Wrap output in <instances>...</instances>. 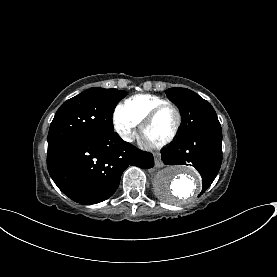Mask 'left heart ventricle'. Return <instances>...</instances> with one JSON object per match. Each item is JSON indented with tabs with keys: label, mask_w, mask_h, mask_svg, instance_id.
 Wrapping results in <instances>:
<instances>
[{
	"label": "left heart ventricle",
	"mask_w": 277,
	"mask_h": 277,
	"mask_svg": "<svg viewBox=\"0 0 277 277\" xmlns=\"http://www.w3.org/2000/svg\"><path fill=\"white\" fill-rule=\"evenodd\" d=\"M177 121L176 112L169 107L164 109L156 120L145 130L144 136L151 142L157 143L170 135Z\"/></svg>",
	"instance_id": "left-heart-ventricle-1"
}]
</instances>
